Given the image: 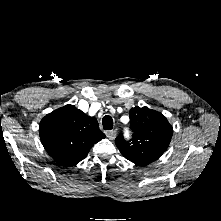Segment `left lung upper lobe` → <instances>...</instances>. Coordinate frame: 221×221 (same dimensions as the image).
I'll use <instances>...</instances> for the list:
<instances>
[{
  "label": "left lung upper lobe",
  "mask_w": 221,
  "mask_h": 221,
  "mask_svg": "<svg viewBox=\"0 0 221 221\" xmlns=\"http://www.w3.org/2000/svg\"><path fill=\"white\" fill-rule=\"evenodd\" d=\"M130 121L132 138L126 141L120 134L115 143L127 160L138 166L148 165L167 149L173 133L172 126L162 113L147 107L132 108Z\"/></svg>",
  "instance_id": "obj_1"
}]
</instances>
